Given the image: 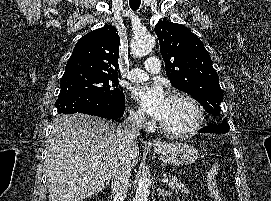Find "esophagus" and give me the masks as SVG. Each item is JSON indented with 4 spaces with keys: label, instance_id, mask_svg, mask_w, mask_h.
<instances>
[{
    "label": "esophagus",
    "instance_id": "1",
    "mask_svg": "<svg viewBox=\"0 0 271 201\" xmlns=\"http://www.w3.org/2000/svg\"><path fill=\"white\" fill-rule=\"evenodd\" d=\"M153 144H154V145H160V141L154 140V141H153Z\"/></svg>",
    "mask_w": 271,
    "mask_h": 201
}]
</instances>
